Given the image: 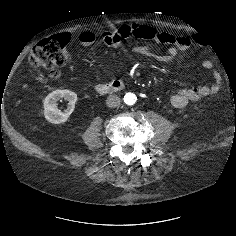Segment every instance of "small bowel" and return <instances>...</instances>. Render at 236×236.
I'll return each instance as SVG.
<instances>
[{"label": "small bowel", "mask_w": 236, "mask_h": 236, "mask_svg": "<svg viewBox=\"0 0 236 236\" xmlns=\"http://www.w3.org/2000/svg\"><path fill=\"white\" fill-rule=\"evenodd\" d=\"M60 35L68 40L69 36L67 33ZM131 36L137 39L153 40L157 43L168 45L169 47L163 53L153 54L155 59L164 63L174 62L179 52L201 43V38L198 35L183 36L160 32L152 27L141 24H133L131 26L124 25L116 31H105L101 34L103 42L111 48L118 47L122 40ZM79 40L82 45L91 46L95 42V34L91 31H84L80 34ZM138 49L143 52L147 51V48L144 46H139ZM202 65L205 68H210L211 62L205 60ZM212 76L213 82L210 85L190 86L177 89L171 98L172 105L176 108H183L191 102L217 93L222 87V77L217 71H214Z\"/></svg>", "instance_id": "c3829d8e"}]
</instances>
